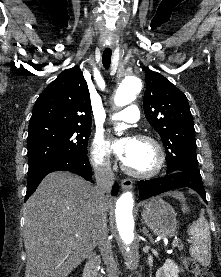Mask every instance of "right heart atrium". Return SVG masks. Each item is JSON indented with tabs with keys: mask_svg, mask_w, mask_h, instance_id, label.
Wrapping results in <instances>:
<instances>
[{
	"mask_svg": "<svg viewBox=\"0 0 221 277\" xmlns=\"http://www.w3.org/2000/svg\"><path fill=\"white\" fill-rule=\"evenodd\" d=\"M90 158L93 166L102 172L111 169L108 143L101 134H96L91 143Z\"/></svg>",
	"mask_w": 221,
	"mask_h": 277,
	"instance_id": "d8ad5b80",
	"label": "right heart atrium"
}]
</instances>
